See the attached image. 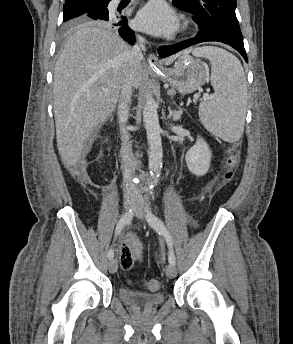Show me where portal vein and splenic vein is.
Returning <instances> with one entry per match:
<instances>
[{
  "mask_svg": "<svg viewBox=\"0 0 293 344\" xmlns=\"http://www.w3.org/2000/svg\"><path fill=\"white\" fill-rule=\"evenodd\" d=\"M103 91H105V92H106L107 90H106V89H103ZM194 98H195V99H197V98H198V96H197V95H195V96H194ZM208 98H209V94H208V93H205V94L203 95V99H204V100H206V99H208Z\"/></svg>",
  "mask_w": 293,
  "mask_h": 344,
  "instance_id": "1",
  "label": "portal vein and splenic vein"
}]
</instances>
